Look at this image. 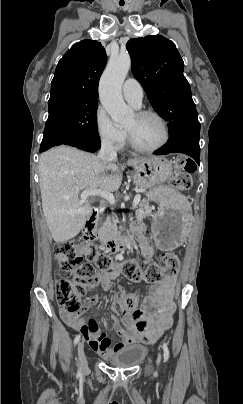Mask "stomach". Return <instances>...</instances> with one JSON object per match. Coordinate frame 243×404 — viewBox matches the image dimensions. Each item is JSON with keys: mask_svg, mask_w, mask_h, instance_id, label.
Segmentation results:
<instances>
[{"mask_svg": "<svg viewBox=\"0 0 243 404\" xmlns=\"http://www.w3.org/2000/svg\"><path fill=\"white\" fill-rule=\"evenodd\" d=\"M172 175V164L163 157H150L134 166L137 187L149 189V200L159 204L152 219L157 246L171 251L180 246L192 224V209L184 195L164 184Z\"/></svg>", "mask_w": 243, "mask_h": 404, "instance_id": "0dacf381", "label": "stomach"}]
</instances>
